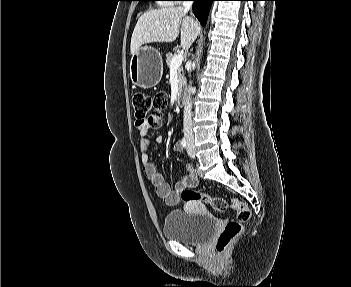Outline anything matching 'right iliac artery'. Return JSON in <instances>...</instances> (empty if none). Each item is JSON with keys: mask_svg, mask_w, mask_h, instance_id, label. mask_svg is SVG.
I'll return each instance as SVG.
<instances>
[{"mask_svg": "<svg viewBox=\"0 0 351 287\" xmlns=\"http://www.w3.org/2000/svg\"><path fill=\"white\" fill-rule=\"evenodd\" d=\"M181 144H182V146H183L184 148H186V146H187V141H186L185 138L182 139Z\"/></svg>", "mask_w": 351, "mask_h": 287, "instance_id": "82829eb1", "label": "right iliac artery"}]
</instances>
